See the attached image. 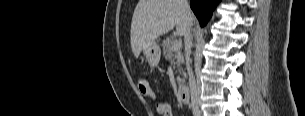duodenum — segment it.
Instances as JSON below:
<instances>
[{"instance_id": "410a0bca", "label": "duodenum", "mask_w": 305, "mask_h": 116, "mask_svg": "<svg viewBox=\"0 0 305 116\" xmlns=\"http://www.w3.org/2000/svg\"><path fill=\"white\" fill-rule=\"evenodd\" d=\"M178 97L181 103L188 104L190 102L189 89L186 85H182L178 89Z\"/></svg>"}]
</instances>
